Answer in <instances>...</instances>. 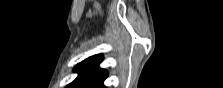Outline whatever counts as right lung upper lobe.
I'll return each instance as SVG.
<instances>
[{
	"label": "right lung upper lobe",
	"instance_id": "cb5924a9",
	"mask_svg": "<svg viewBox=\"0 0 223 88\" xmlns=\"http://www.w3.org/2000/svg\"><path fill=\"white\" fill-rule=\"evenodd\" d=\"M102 60V55H94L79 63L74 71L80 74L67 88H104L103 80L108 73L98 67Z\"/></svg>",
	"mask_w": 223,
	"mask_h": 88
}]
</instances>
